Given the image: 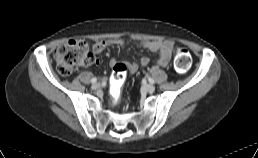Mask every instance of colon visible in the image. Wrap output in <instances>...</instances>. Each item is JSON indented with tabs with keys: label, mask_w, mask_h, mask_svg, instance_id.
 Masks as SVG:
<instances>
[{
	"label": "colon",
	"mask_w": 258,
	"mask_h": 158,
	"mask_svg": "<svg viewBox=\"0 0 258 158\" xmlns=\"http://www.w3.org/2000/svg\"><path fill=\"white\" fill-rule=\"evenodd\" d=\"M55 60L60 74L68 76L72 74L78 65L90 66L96 62V57L89 50L87 43L83 40H69L62 43L55 51ZM191 65V55L188 49L177 46L174 57V68L179 73L186 72ZM128 72V65L117 62L113 66L111 88L114 99L120 97Z\"/></svg>",
	"instance_id": "obj_1"
}]
</instances>
